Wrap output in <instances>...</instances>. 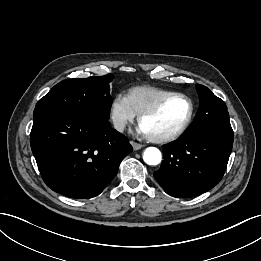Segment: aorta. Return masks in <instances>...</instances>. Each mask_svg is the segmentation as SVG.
Segmentation results:
<instances>
[{
	"label": "aorta",
	"mask_w": 261,
	"mask_h": 261,
	"mask_svg": "<svg viewBox=\"0 0 261 261\" xmlns=\"http://www.w3.org/2000/svg\"><path fill=\"white\" fill-rule=\"evenodd\" d=\"M162 155L158 148L148 147L143 154V160L148 165H158L161 162Z\"/></svg>",
	"instance_id": "obj_1"
}]
</instances>
